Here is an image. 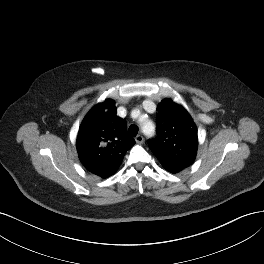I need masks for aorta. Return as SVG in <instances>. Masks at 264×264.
I'll return each mask as SVG.
<instances>
[{"label": "aorta", "instance_id": "762f6f07", "mask_svg": "<svg viewBox=\"0 0 264 264\" xmlns=\"http://www.w3.org/2000/svg\"><path fill=\"white\" fill-rule=\"evenodd\" d=\"M146 129H150L151 132L149 133V135H152L153 131H154V125L151 122H147L145 123V125L143 126V130L145 131Z\"/></svg>", "mask_w": 264, "mask_h": 264}]
</instances>
